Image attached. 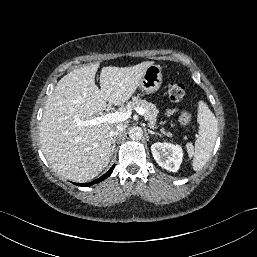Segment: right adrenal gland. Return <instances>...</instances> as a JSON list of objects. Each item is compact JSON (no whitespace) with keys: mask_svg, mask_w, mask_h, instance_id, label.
<instances>
[{"mask_svg":"<svg viewBox=\"0 0 257 257\" xmlns=\"http://www.w3.org/2000/svg\"><path fill=\"white\" fill-rule=\"evenodd\" d=\"M116 137H114L113 139H112V155H113V153H114V151H115V147H116Z\"/></svg>","mask_w":257,"mask_h":257,"instance_id":"2a0ac1e0","label":"right adrenal gland"}]
</instances>
